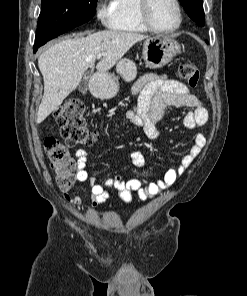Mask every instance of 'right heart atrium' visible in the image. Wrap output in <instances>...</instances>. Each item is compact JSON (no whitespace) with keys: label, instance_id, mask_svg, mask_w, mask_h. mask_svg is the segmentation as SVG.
<instances>
[{"label":"right heart atrium","instance_id":"right-heart-atrium-1","mask_svg":"<svg viewBox=\"0 0 247 296\" xmlns=\"http://www.w3.org/2000/svg\"><path fill=\"white\" fill-rule=\"evenodd\" d=\"M110 6L107 0L95 1V17L99 23L106 26L109 25L112 20V10Z\"/></svg>","mask_w":247,"mask_h":296}]
</instances>
